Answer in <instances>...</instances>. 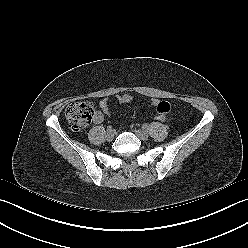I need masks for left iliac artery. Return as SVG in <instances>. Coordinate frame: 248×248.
<instances>
[{
  "label": "left iliac artery",
  "instance_id": "1",
  "mask_svg": "<svg viewBox=\"0 0 248 248\" xmlns=\"http://www.w3.org/2000/svg\"><path fill=\"white\" fill-rule=\"evenodd\" d=\"M142 128L145 129V130H148V125H147V124H144V125L142 126Z\"/></svg>",
  "mask_w": 248,
  "mask_h": 248
}]
</instances>
